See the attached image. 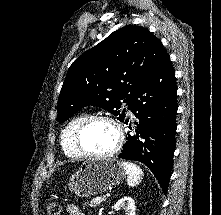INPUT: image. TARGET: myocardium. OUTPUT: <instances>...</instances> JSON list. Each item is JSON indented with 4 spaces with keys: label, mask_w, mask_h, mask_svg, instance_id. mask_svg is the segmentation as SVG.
<instances>
[{
    "label": "myocardium",
    "mask_w": 221,
    "mask_h": 215,
    "mask_svg": "<svg viewBox=\"0 0 221 215\" xmlns=\"http://www.w3.org/2000/svg\"><path fill=\"white\" fill-rule=\"evenodd\" d=\"M96 121H107L109 122L115 129L116 132V143L115 145L108 151L104 153H92L87 151L82 144V136L85 130ZM124 142V133L120 123L111 116L98 114L88 116L78 127L75 133V145L77 150L80 152L82 156L90 157V158H107L114 154H116L122 147Z\"/></svg>",
    "instance_id": "f54148a6"
}]
</instances>
